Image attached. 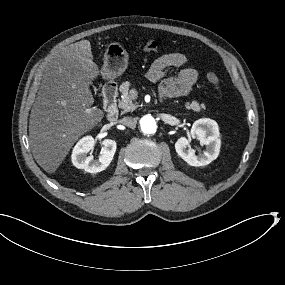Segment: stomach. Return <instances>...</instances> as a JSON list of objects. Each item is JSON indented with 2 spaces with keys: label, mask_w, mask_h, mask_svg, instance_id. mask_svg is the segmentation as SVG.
<instances>
[{
  "label": "stomach",
  "mask_w": 285,
  "mask_h": 285,
  "mask_svg": "<svg viewBox=\"0 0 285 285\" xmlns=\"http://www.w3.org/2000/svg\"><path fill=\"white\" fill-rule=\"evenodd\" d=\"M103 60L102 74L105 78L114 79L127 69L129 54L123 44L111 42L105 49Z\"/></svg>",
  "instance_id": "0dacf381"
}]
</instances>
